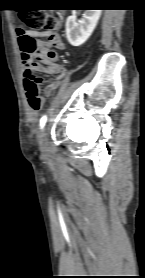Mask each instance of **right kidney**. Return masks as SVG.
<instances>
[{
  "instance_id": "ca27d5eb",
  "label": "right kidney",
  "mask_w": 145,
  "mask_h": 278,
  "mask_svg": "<svg viewBox=\"0 0 145 278\" xmlns=\"http://www.w3.org/2000/svg\"><path fill=\"white\" fill-rule=\"evenodd\" d=\"M102 10H86L83 19L77 21L74 15L66 20V35L72 46L78 47L85 43L94 31Z\"/></svg>"
}]
</instances>
